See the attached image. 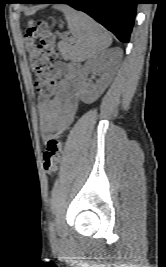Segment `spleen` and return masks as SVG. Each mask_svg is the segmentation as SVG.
Instances as JSON below:
<instances>
[{
  "label": "spleen",
  "mask_w": 166,
  "mask_h": 267,
  "mask_svg": "<svg viewBox=\"0 0 166 267\" xmlns=\"http://www.w3.org/2000/svg\"><path fill=\"white\" fill-rule=\"evenodd\" d=\"M55 8L64 13L68 27L76 38V44L69 52L72 61L81 62L90 59L111 45L112 39L109 33L85 13L67 5Z\"/></svg>",
  "instance_id": "obj_1"
}]
</instances>
